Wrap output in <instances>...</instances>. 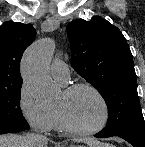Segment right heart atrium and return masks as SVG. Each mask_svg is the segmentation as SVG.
Listing matches in <instances>:
<instances>
[{"instance_id": "obj_1", "label": "right heart atrium", "mask_w": 145, "mask_h": 147, "mask_svg": "<svg viewBox=\"0 0 145 147\" xmlns=\"http://www.w3.org/2000/svg\"><path fill=\"white\" fill-rule=\"evenodd\" d=\"M17 105L21 117L32 128L49 132L54 127L53 110L40 106L25 83L19 89Z\"/></svg>"}]
</instances>
